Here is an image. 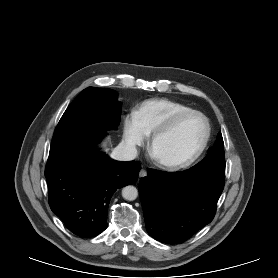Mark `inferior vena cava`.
I'll list each match as a JSON object with an SVG mask.
<instances>
[{
    "label": "inferior vena cava",
    "instance_id": "obj_1",
    "mask_svg": "<svg viewBox=\"0 0 278 278\" xmlns=\"http://www.w3.org/2000/svg\"><path fill=\"white\" fill-rule=\"evenodd\" d=\"M112 157L119 161H131L137 157V149L135 145L122 141L112 151Z\"/></svg>",
    "mask_w": 278,
    "mask_h": 278
}]
</instances>
